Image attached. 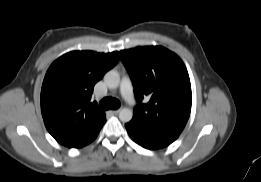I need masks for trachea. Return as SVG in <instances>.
I'll list each match as a JSON object with an SVG mask.
<instances>
[{
    "instance_id": "3493384b",
    "label": "trachea",
    "mask_w": 261,
    "mask_h": 182,
    "mask_svg": "<svg viewBox=\"0 0 261 182\" xmlns=\"http://www.w3.org/2000/svg\"><path fill=\"white\" fill-rule=\"evenodd\" d=\"M99 106L103 110L118 109L120 107V102L115 98L106 97L100 101Z\"/></svg>"
}]
</instances>
